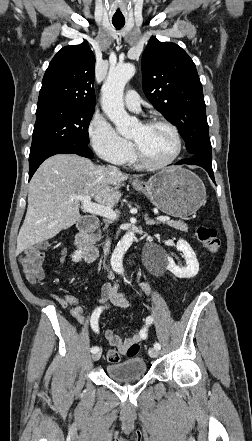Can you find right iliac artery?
<instances>
[{
  "mask_svg": "<svg viewBox=\"0 0 252 441\" xmlns=\"http://www.w3.org/2000/svg\"><path fill=\"white\" fill-rule=\"evenodd\" d=\"M101 312H102V309H101L100 307H97V308L94 310V312L92 313V316H91L90 323H91V327L93 328V330H94L95 332H99L98 318H99ZM98 351H99V347H96V346H95V347H92V348H91V352H92V353H96V352H98Z\"/></svg>",
  "mask_w": 252,
  "mask_h": 441,
  "instance_id": "82829eb1",
  "label": "right iliac artery"
}]
</instances>
